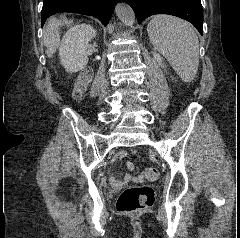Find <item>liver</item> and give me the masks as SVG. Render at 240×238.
<instances>
[{"instance_id": "liver-1", "label": "liver", "mask_w": 240, "mask_h": 238, "mask_svg": "<svg viewBox=\"0 0 240 238\" xmlns=\"http://www.w3.org/2000/svg\"><path fill=\"white\" fill-rule=\"evenodd\" d=\"M73 20H67L66 17L62 19H50L45 30H44V45L46 46L47 56L52 57V55L56 52L59 43H60V33L59 27L63 25L70 26Z\"/></svg>"}]
</instances>
